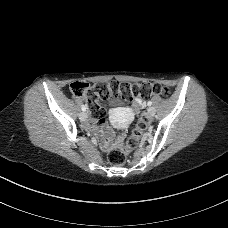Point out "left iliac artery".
I'll return each mask as SVG.
<instances>
[{"label":"left iliac artery","instance_id":"44dca946","mask_svg":"<svg viewBox=\"0 0 228 228\" xmlns=\"http://www.w3.org/2000/svg\"><path fill=\"white\" fill-rule=\"evenodd\" d=\"M147 105L148 106H151L152 105V102L151 101H148Z\"/></svg>","mask_w":228,"mask_h":228}]
</instances>
